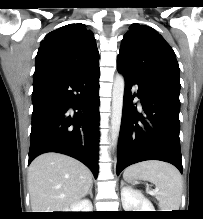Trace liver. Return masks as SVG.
Returning a JSON list of instances; mask_svg holds the SVG:
<instances>
[{"label": "liver", "instance_id": "6515ba94", "mask_svg": "<svg viewBox=\"0 0 203 219\" xmlns=\"http://www.w3.org/2000/svg\"><path fill=\"white\" fill-rule=\"evenodd\" d=\"M91 184L92 173L80 161L54 152L42 154L28 169L32 212H65Z\"/></svg>", "mask_w": 203, "mask_h": 219}]
</instances>
